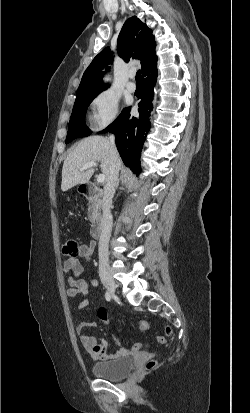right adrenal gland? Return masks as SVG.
Returning <instances> with one entry per match:
<instances>
[{
    "instance_id": "right-adrenal-gland-1",
    "label": "right adrenal gland",
    "mask_w": 250,
    "mask_h": 413,
    "mask_svg": "<svg viewBox=\"0 0 250 413\" xmlns=\"http://www.w3.org/2000/svg\"><path fill=\"white\" fill-rule=\"evenodd\" d=\"M118 187H119V180H118V182H117V186H116V188L118 189Z\"/></svg>"
}]
</instances>
